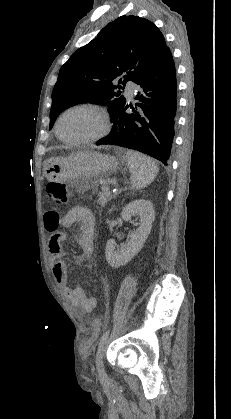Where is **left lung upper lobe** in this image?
I'll use <instances>...</instances> for the list:
<instances>
[{
    "label": "left lung upper lobe",
    "instance_id": "5c2ea615",
    "mask_svg": "<svg viewBox=\"0 0 231 419\" xmlns=\"http://www.w3.org/2000/svg\"><path fill=\"white\" fill-rule=\"evenodd\" d=\"M168 50L160 30L147 19L124 15L110 22L61 67L49 129L60 112L81 102L107 105L113 117L126 103L116 89L128 80L135 82ZM116 79L121 85L112 84Z\"/></svg>",
    "mask_w": 231,
    "mask_h": 419
}]
</instances>
